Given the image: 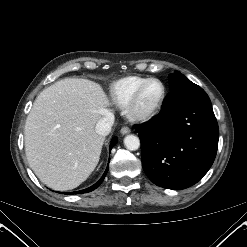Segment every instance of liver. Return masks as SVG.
<instances>
[{"mask_svg": "<svg viewBox=\"0 0 247 247\" xmlns=\"http://www.w3.org/2000/svg\"><path fill=\"white\" fill-rule=\"evenodd\" d=\"M108 105L102 87L87 79L65 78L38 95L25 124V152L46 186L71 190L94 171L104 143L95 125Z\"/></svg>", "mask_w": 247, "mask_h": 247, "instance_id": "liver-1", "label": "liver"}]
</instances>
